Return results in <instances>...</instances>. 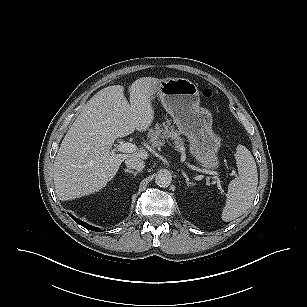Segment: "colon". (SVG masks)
Listing matches in <instances>:
<instances>
[{
	"label": "colon",
	"mask_w": 307,
	"mask_h": 307,
	"mask_svg": "<svg viewBox=\"0 0 307 307\" xmlns=\"http://www.w3.org/2000/svg\"><path fill=\"white\" fill-rule=\"evenodd\" d=\"M212 94H213V92H212V90L209 89V88H205V89L203 90V95H204V97H211Z\"/></svg>",
	"instance_id": "obj_1"
}]
</instances>
